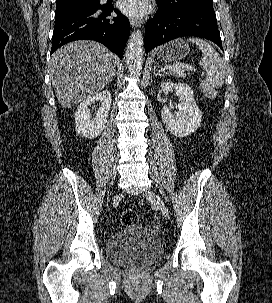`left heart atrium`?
<instances>
[{
  "label": "left heart atrium",
  "instance_id": "left-heart-atrium-1",
  "mask_svg": "<svg viewBox=\"0 0 272 303\" xmlns=\"http://www.w3.org/2000/svg\"><path fill=\"white\" fill-rule=\"evenodd\" d=\"M149 7V0H121L119 2L120 10L130 16H142Z\"/></svg>",
  "mask_w": 272,
  "mask_h": 303
}]
</instances>
